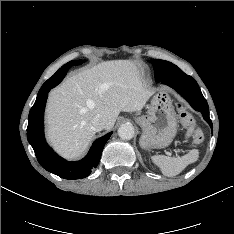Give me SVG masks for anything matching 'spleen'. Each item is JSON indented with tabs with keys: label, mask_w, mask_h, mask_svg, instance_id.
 Masks as SVG:
<instances>
[{
	"label": "spleen",
	"mask_w": 234,
	"mask_h": 234,
	"mask_svg": "<svg viewBox=\"0 0 234 234\" xmlns=\"http://www.w3.org/2000/svg\"><path fill=\"white\" fill-rule=\"evenodd\" d=\"M199 152L196 149L191 150L182 157H167L164 155H154L152 162L157 165L163 175L173 177L181 173L189 164L197 161Z\"/></svg>",
	"instance_id": "3e777b00"
}]
</instances>
